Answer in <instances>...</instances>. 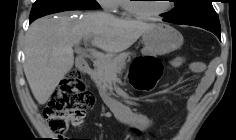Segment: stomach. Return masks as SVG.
<instances>
[{
    "instance_id": "obj_1",
    "label": "stomach",
    "mask_w": 236,
    "mask_h": 140,
    "mask_svg": "<svg viewBox=\"0 0 236 140\" xmlns=\"http://www.w3.org/2000/svg\"><path fill=\"white\" fill-rule=\"evenodd\" d=\"M143 55H164L183 45V36L174 27L159 23L142 36Z\"/></svg>"
}]
</instances>
